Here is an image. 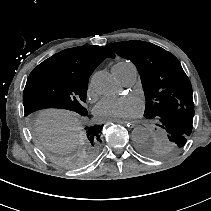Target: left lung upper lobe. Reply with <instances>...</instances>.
I'll list each match as a JSON object with an SVG mask.
<instances>
[{
    "label": "left lung upper lobe",
    "mask_w": 211,
    "mask_h": 211,
    "mask_svg": "<svg viewBox=\"0 0 211 211\" xmlns=\"http://www.w3.org/2000/svg\"><path fill=\"white\" fill-rule=\"evenodd\" d=\"M119 56L132 61L141 77L146 107L144 117L155 134L139 143L151 158H166L186 144L194 117L192 86L178 59L152 43L131 40L108 44Z\"/></svg>",
    "instance_id": "1"
}]
</instances>
